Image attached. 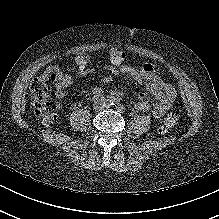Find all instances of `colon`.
<instances>
[{
    "label": "colon",
    "mask_w": 219,
    "mask_h": 219,
    "mask_svg": "<svg viewBox=\"0 0 219 219\" xmlns=\"http://www.w3.org/2000/svg\"><path fill=\"white\" fill-rule=\"evenodd\" d=\"M82 63L88 61L86 55L78 56ZM57 75L51 70L42 72L30 85V94L32 107L37 120L43 125H50L55 118V111L50 104L51 83ZM176 117L173 114L168 115L160 124V132L166 133L175 124Z\"/></svg>",
    "instance_id": "obj_1"
}]
</instances>
